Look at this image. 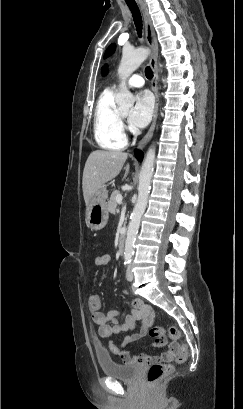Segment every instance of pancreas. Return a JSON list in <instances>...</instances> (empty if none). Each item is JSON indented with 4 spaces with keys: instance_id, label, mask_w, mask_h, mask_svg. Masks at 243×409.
Listing matches in <instances>:
<instances>
[{
    "instance_id": "1",
    "label": "pancreas",
    "mask_w": 243,
    "mask_h": 409,
    "mask_svg": "<svg viewBox=\"0 0 243 409\" xmlns=\"http://www.w3.org/2000/svg\"><path fill=\"white\" fill-rule=\"evenodd\" d=\"M118 195H121L120 191L115 190L114 192H112L110 199L108 201V206L107 209L109 212L111 213H115L116 212V207H117V201L116 198Z\"/></svg>"
}]
</instances>
